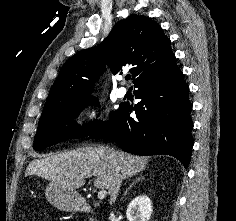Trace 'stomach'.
Masks as SVG:
<instances>
[{"label":"stomach","instance_id":"0dacf381","mask_svg":"<svg viewBox=\"0 0 236 221\" xmlns=\"http://www.w3.org/2000/svg\"><path fill=\"white\" fill-rule=\"evenodd\" d=\"M45 193L49 202L63 211H73L81 203V196L75 190H69L54 182H50Z\"/></svg>","mask_w":236,"mask_h":221}]
</instances>
